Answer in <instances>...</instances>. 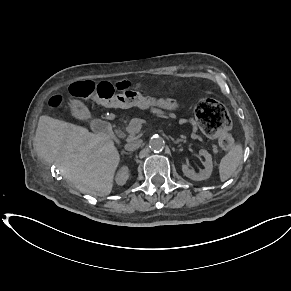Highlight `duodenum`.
I'll list each match as a JSON object with an SVG mask.
<instances>
[{"mask_svg":"<svg viewBox=\"0 0 291 291\" xmlns=\"http://www.w3.org/2000/svg\"><path fill=\"white\" fill-rule=\"evenodd\" d=\"M92 126L96 132L105 134L107 138H110L112 136V133L110 132V125L106 121L95 120L93 121ZM110 142L114 145H117L118 147H121L123 145V142L115 137H112L110 139Z\"/></svg>","mask_w":291,"mask_h":291,"instance_id":"obj_1","label":"duodenum"}]
</instances>
